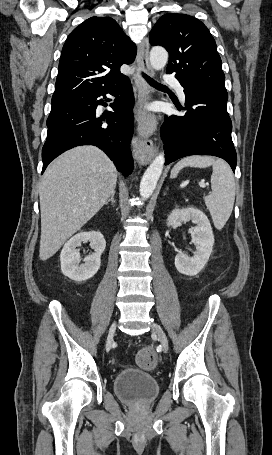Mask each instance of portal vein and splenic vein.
Instances as JSON below:
<instances>
[{
	"label": "portal vein and splenic vein",
	"mask_w": 272,
	"mask_h": 455,
	"mask_svg": "<svg viewBox=\"0 0 272 455\" xmlns=\"http://www.w3.org/2000/svg\"><path fill=\"white\" fill-rule=\"evenodd\" d=\"M199 186L202 187V188H205V187H206V184L204 183V181H200V182H199Z\"/></svg>",
	"instance_id": "portal-vein-and-splenic-vein-1"
}]
</instances>
